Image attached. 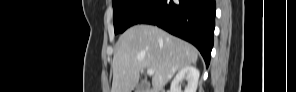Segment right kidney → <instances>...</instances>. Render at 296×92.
I'll return each instance as SVG.
<instances>
[{"mask_svg":"<svg viewBox=\"0 0 296 92\" xmlns=\"http://www.w3.org/2000/svg\"><path fill=\"white\" fill-rule=\"evenodd\" d=\"M199 76H200V72L195 66H187L181 69L172 80L170 91L182 92L179 85L184 80H186L187 86L185 87L184 92H196Z\"/></svg>","mask_w":296,"mask_h":92,"instance_id":"right-kidney-1","label":"right kidney"}]
</instances>
